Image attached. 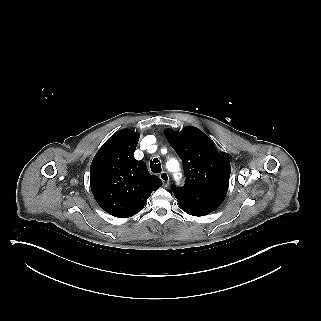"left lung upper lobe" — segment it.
I'll use <instances>...</instances> for the list:
<instances>
[{
  "mask_svg": "<svg viewBox=\"0 0 321 321\" xmlns=\"http://www.w3.org/2000/svg\"><path fill=\"white\" fill-rule=\"evenodd\" d=\"M165 136L183 161L186 176L183 187L171 186L173 192L228 190L231 172L229 158L216 150L206 134L188 126L180 132L168 129Z\"/></svg>",
  "mask_w": 321,
  "mask_h": 321,
  "instance_id": "5c2ea615",
  "label": "left lung upper lobe"
}]
</instances>
